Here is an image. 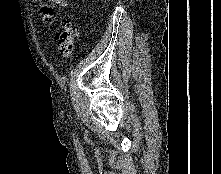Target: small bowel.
Listing matches in <instances>:
<instances>
[{"label":"small bowel","mask_w":221,"mask_h":174,"mask_svg":"<svg viewBox=\"0 0 221 174\" xmlns=\"http://www.w3.org/2000/svg\"><path fill=\"white\" fill-rule=\"evenodd\" d=\"M37 2L39 0H32ZM52 5H41L40 13L42 16V21L45 24H51L55 20L54 6L59 8H66L68 5V0H50Z\"/></svg>","instance_id":"c3829d8e"}]
</instances>
